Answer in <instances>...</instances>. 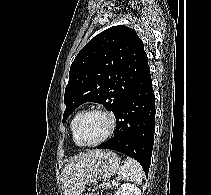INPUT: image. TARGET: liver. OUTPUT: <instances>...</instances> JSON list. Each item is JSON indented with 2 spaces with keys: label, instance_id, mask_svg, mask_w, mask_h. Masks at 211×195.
I'll return each mask as SVG.
<instances>
[{
  "label": "liver",
  "instance_id": "obj_1",
  "mask_svg": "<svg viewBox=\"0 0 211 195\" xmlns=\"http://www.w3.org/2000/svg\"><path fill=\"white\" fill-rule=\"evenodd\" d=\"M101 153L94 150L86 154L70 158L65 165L62 177L64 195H81L87 184L88 174L93 160Z\"/></svg>",
  "mask_w": 211,
  "mask_h": 195
}]
</instances>
